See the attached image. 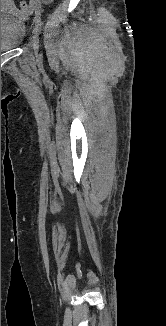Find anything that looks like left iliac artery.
Segmentation results:
<instances>
[{"label": "left iliac artery", "mask_w": 166, "mask_h": 326, "mask_svg": "<svg viewBox=\"0 0 166 326\" xmlns=\"http://www.w3.org/2000/svg\"><path fill=\"white\" fill-rule=\"evenodd\" d=\"M34 21H35V26H36L38 32H40L41 31V17H40V13L36 12Z\"/></svg>", "instance_id": "1"}]
</instances>
